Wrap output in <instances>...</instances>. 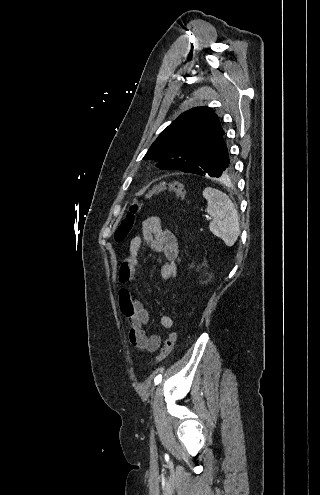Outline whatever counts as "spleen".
Returning a JSON list of instances; mask_svg holds the SVG:
<instances>
[{"instance_id": "obj_1", "label": "spleen", "mask_w": 320, "mask_h": 495, "mask_svg": "<svg viewBox=\"0 0 320 495\" xmlns=\"http://www.w3.org/2000/svg\"><path fill=\"white\" fill-rule=\"evenodd\" d=\"M203 197L207 201L206 212L213 217L209 224L210 231L220 239L226 246L235 244L239 233V217L230 198L222 191L206 187Z\"/></svg>"}]
</instances>
